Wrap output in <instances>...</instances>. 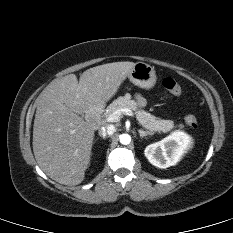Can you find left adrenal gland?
I'll use <instances>...</instances> for the list:
<instances>
[{
  "instance_id": "obj_1",
  "label": "left adrenal gland",
  "mask_w": 233,
  "mask_h": 233,
  "mask_svg": "<svg viewBox=\"0 0 233 233\" xmlns=\"http://www.w3.org/2000/svg\"><path fill=\"white\" fill-rule=\"evenodd\" d=\"M138 133L141 139L147 135H152V133H150L149 131H143L141 129L138 130Z\"/></svg>"
}]
</instances>
